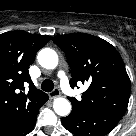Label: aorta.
<instances>
[{"mask_svg": "<svg viewBox=\"0 0 136 136\" xmlns=\"http://www.w3.org/2000/svg\"><path fill=\"white\" fill-rule=\"evenodd\" d=\"M39 64L46 69H54L58 65V55L50 48L41 49L38 53ZM53 108L56 114L60 116H67L71 111V104L65 98H56L53 103Z\"/></svg>", "mask_w": 136, "mask_h": 136, "instance_id": "1", "label": "aorta"}]
</instances>
